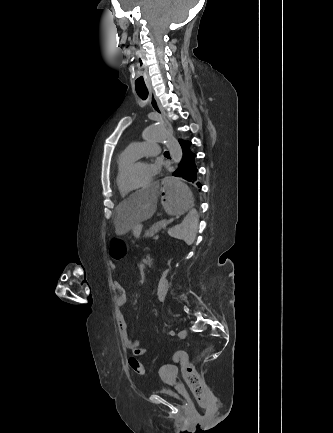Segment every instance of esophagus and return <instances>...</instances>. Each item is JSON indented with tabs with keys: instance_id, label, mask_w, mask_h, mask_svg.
Instances as JSON below:
<instances>
[{
	"instance_id": "1",
	"label": "esophagus",
	"mask_w": 333,
	"mask_h": 433,
	"mask_svg": "<svg viewBox=\"0 0 333 433\" xmlns=\"http://www.w3.org/2000/svg\"><path fill=\"white\" fill-rule=\"evenodd\" d=\"M149 97H150V105L152 107V109L160 116V118L165 122V126H167L170 129V127L167 125L166 123V118L165 115L160 107V105L158 104V102L156 101V99L153 97L152 91L149 89Z\"/></svg>"
}]
</instances>
